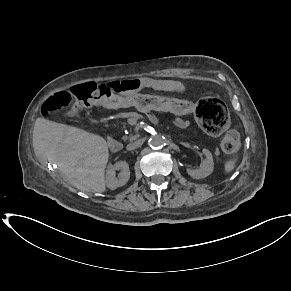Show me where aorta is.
<instances>
[{
  "mask_svg": "<svg viewBox=\"0 0 291 291\" xmlns=\"http://www.w3.org/2000/svg\"><path fill=\"white\" fill-rule=\"evenodd\" d=\"M164 144H165V138L159 134L153 135L149 139V145L151 148L159 149V148H162Z\"/></svg>",
  "mask_w": 291,
  "mask_h": 291,
  "instance_id": "762f6f07",
  "label": "aorta"
}]
</instances>
